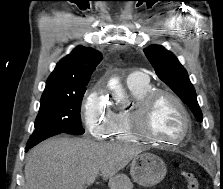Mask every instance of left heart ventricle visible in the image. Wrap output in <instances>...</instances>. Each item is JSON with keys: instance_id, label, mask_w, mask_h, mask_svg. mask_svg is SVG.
<instances>
[{"instance_id": "obj_1", "label": "left heart ventricle", "mask_w": 223, "mask_h": 189, "mask_svg": "<svg viewBox=\"0 0 223 189\" xmlns=\"http://www.w3.org/2000/svg\"><path fill=\"white\" fill-rule=\"evenodd\" d=\"M183 130V117L174 102L162 97L152 107L146 122V131L158 138L173 140Z\"/></svg>"}]
</instances>
